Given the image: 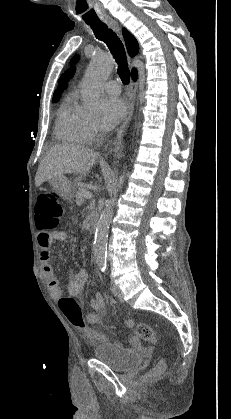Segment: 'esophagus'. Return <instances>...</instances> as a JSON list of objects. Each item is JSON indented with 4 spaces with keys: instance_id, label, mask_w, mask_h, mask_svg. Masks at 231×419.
<instances>
[{
    "instance_id": "1",
    "label": "esophagus",
    "mask_w": 231,
    "mask_h": 419,
    "mask_svg": "<svg viewBox=\"0 0 231 419\" xmlns=\"http://www.w3.org/2000/svg\"><path fill=\"white\" fill-rule=\"evenodd\" d=\"M105 21L113 30H115L118 33L120 37L122 36L120 26L113 18L107 16L105 17ZM136 94H137V82H135L134 80H131L129 91H128L126 113L119 127L117 128L116 133H115V138L112 141V145H113L112 152L115 157L118 156L123 150V136L125 134V131L129 125V122L134 112Z\"/></svg>"
}]
</instances>
